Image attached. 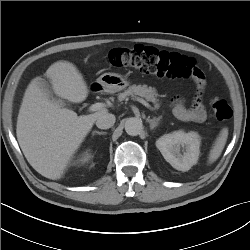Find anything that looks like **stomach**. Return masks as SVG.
Segmentation results:
<instances>
[{
    "label": "stomach",
    "instance_id": "stomach-1",
    "mask_svg": "<svg viewBox=\"0 0 250 250\" xmlns=\"http://www.w3.org/2000/svg\"><path fill=\"white\" fill-rule=\"evenodd\" d=\"M96 83L109 93L121 91L130 84L126 77L116 73H104L97 79Z\"/></svg>",
    "mask_w": 250,
    "mask_h": 250
}]
</instances>
